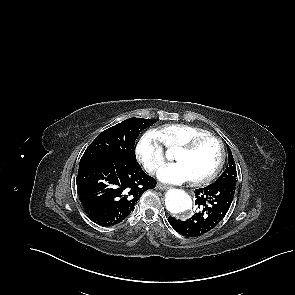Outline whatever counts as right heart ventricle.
<instances>
[{"instance_id": "1", "label": "right heart ventricle", "mask_w": 295, "mask_h": 295, "mask_svg": "<svg viewBox=\"0 0 295 295\" xmlns=\"http://www.w3.org/2000/svg\"><path fill=\"white\" fill-rule=\"evenodd\" d=\"M161 143L170 150H177L193 138L209 132L203 128L187 124H169L154 131Z\"/></svg>"}]
</instances>
